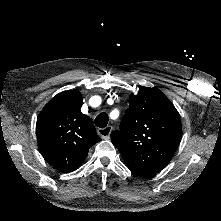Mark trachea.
<instances>
[{"label": "trachea", "mask_w": 221, "mask_h": 221, "mask_svg": "<svg viewBox=\"0 0 221 221\" xmlns=\"http://www.w3.org/2000/svg\"><path fill=\"white\" fill-rule=\"evenodd\" d=\"M108 115L106 113H100L96 118H95V125L99 128H104L108 124Z\"/></svg>", "instance_id": "1"}]
</instances>
